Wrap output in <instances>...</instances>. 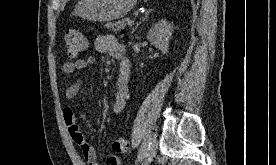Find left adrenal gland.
<instances>
[{
	"label": "left adrenal gland",
	"instance_id": "a2214340",
	"mask_svg": "<svg viewBox=\"0 0 276 165\" xmlns=\"http://www.w3.org/2000/svg\"><path fill=\"white\" fill-rule=\"evenodd\" d=\"M152 10L149 9L148 11L145 12V15L144 17L140 20L139 23L136 24V26L132 29V32L131 33H134L135 30L138 28V26L148 17L149 13L151 12Z\"/></svg>",
	"mask_w": 276,
	"mask_h": 165
}]
</instances>
